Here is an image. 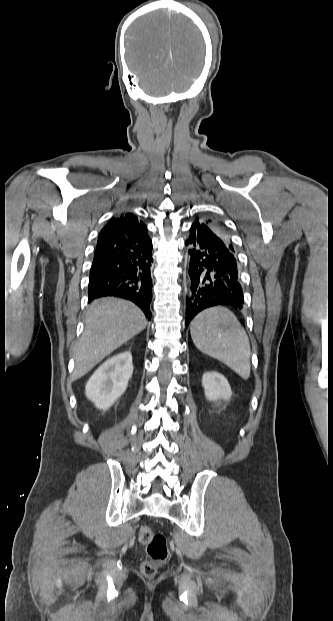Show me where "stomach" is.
<instances>
[{"mask_svg": "<svg viewBox=\"0 0 333 621\" xmlns=\"http://www.w3.org/2000/svg\"><path fill=\"white\" fill-rule=\"evenodd\" d=\"M220 309H221L223 312H228V310H226V309H223V308H220Z\"/></svg>", "mask_w": 333, "mask_h": 621, "instance_id": "0dacf381", "label": "stomach"}]
</instances>
